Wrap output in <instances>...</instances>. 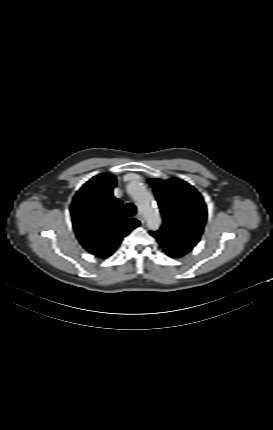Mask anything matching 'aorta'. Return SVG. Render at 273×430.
<instances>
[{
	"instance_id": "762f6f07",
	"label": "aorta",
	"mask_w": 273,
	"mask_h": 430,
	"mask_svg": "<svg viewBox=\"0 0 273 430\" xmlns=\"http://www.w3.org/2000/svg\"><path fill=\"white\" fill-rule=\"evenodd\" d=\"M131 195L143 214L149 229H158L161 225V216L153 202V195L150 190L143 183L135 182L132 186Z\"/></svg>"
}]
</instances>
